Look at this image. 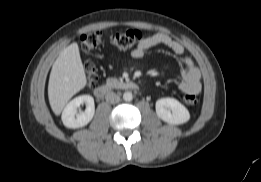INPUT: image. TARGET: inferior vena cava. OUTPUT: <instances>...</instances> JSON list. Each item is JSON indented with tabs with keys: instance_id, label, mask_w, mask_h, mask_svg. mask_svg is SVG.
<instances>
[{
	"instance_id": "602c4592",
	"label": "inferior vena cava",
	"mask_w": 261,
	"mask_h": 182,
	"mask_svg": "<svg viewBox=\"0 0 261 182\" xmlns=\"http://www.w3.org/2000/svg\"><path fill=\"white\" fill-rule=\"evenodd\" d=\"M105 99L107 102H109L111 104H115L120 101V97L116 93L111 92V91L106 93Z\"/></svg>"
}]
</instances>
